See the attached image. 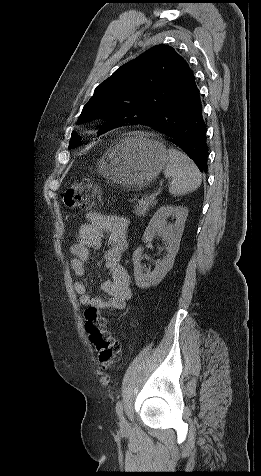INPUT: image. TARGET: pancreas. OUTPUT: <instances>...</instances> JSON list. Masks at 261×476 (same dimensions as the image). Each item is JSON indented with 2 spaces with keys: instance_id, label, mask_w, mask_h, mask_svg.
<instances>
[{
  "instance_id": "obj_1",
  "label": "pancreas",
  "mask_w": 261,
  "mask_h": 476,
  "mask_svg": "<svg viewBox=\"0 0 261 476\" xmlns=\"http://www.w3.org/2000/svg\"><path fill=\"white\" fill-rule=\"evenodd\" d=\"M155 204L156 202L150 196H144L138 200L134 213L138 216H145Z\"/></svg>"
}]
</instances>
